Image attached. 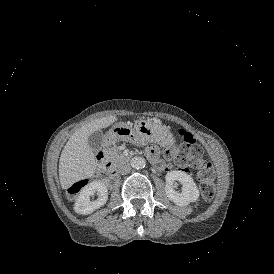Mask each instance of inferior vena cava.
<instances>
[{"label":"inferior vena cava","mask_w":274,"mask_h":274,"mask_svg":"<svg viewBox=\"0 0 274 274\" xmlns=\"http://www.w3.org/2000/svg\"><path fill=\"white\" fill-rule=\"evenodd\" d=\"M130 171H131V166L129 164L122 165L119 168V173L122 175H126V174L130 173Z\"/></svg>","instance_id":"obj_1"}]
</instances>
